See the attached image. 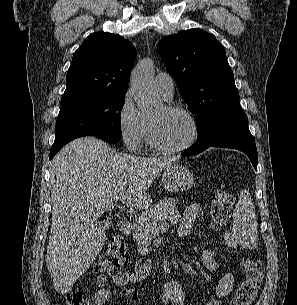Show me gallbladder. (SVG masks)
<instances>
[{"label":"gallbladder","instance_id":"1","mask_svg":"<svg viewBox=\"0 0 297 305\" xmlns=\"http://www.w3.org/2000/svg\"><path fill=\"white\" fill-rule=\"evenodd\" d=\"M111 226V223L109 221H102L99 223V227L102 230H107Z\"/></svg>","mask_w":297,"mask_h":305}]
</instances>
